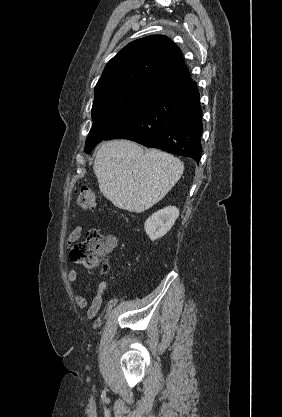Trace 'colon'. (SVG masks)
<instances>
[{
	"mask_svg": "<svg viewBox=\"0 0 282 417\" xmlns=\"http://www.w3.org/2000/svg\"><path fill=\"white\" fill-rule=\"evenodd\" d=\"M77 201L81 207L93 209L96 205L95 194L91 189L82 188L77 195ZM108 244L96 230H90L84 241L77 243L71 249V259L75 264L99 270L107 274Z\"/></svg>",
	"mask_w": 282,
	"mask_h": 417,
	"instance_id": "5ec220e1",
	"label": "colon"
}]
</instances>
